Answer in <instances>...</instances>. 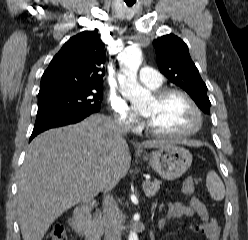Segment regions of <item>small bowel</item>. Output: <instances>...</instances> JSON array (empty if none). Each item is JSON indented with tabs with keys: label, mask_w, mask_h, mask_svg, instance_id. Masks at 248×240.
Here are the masks:
<instances>
[{
	"label": "small bowel",
	"mask_w": 248,
	"mask_h": 240,
	"mask_svg": "<svg viewBox=\"0 0 248 240\" xmlns=\"http://www.w3.org/2000/svg\"><path fill=\"white\" fill-rule=\"evenodd\" d=\"M181 217H197L200 220L199 223L187 227L204 235L208 240H219L221 232L219 223L210 217L206 205L199 199L191 198L188 205H184L181 201L169 202L168 211L159 220L160 229H164L169 221Z\"/></svg>",
	"instance_id": "1"
}]
</instances>
